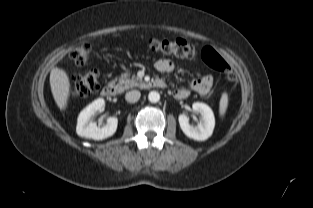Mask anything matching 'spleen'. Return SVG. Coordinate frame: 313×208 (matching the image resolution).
<instances>
[{"instance_id":"1","label":"spleen","mask_w":313,"mask_h":208,"mask_svg":"<svg viewBox=\"0 0 313 208\" xmlns=\"http://www.w3.org/2000/svg\"><path fill=\"white\" fill-rule=\"evenodd\" d=\"M227 106H228V96L226 93H223L220 99V107H219V112L221 116L225 114Z\"/></svg>"}]
</instances>
